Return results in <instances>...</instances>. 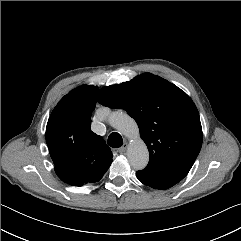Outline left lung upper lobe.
Wrapping results in <instances>:
<instances>
[{"label":"left lung upper lobe","instance_id":"5c2ea615","mask_svg":"<svg viewBox=\"0 0 241 241\" xmlns=\"http://www.w3.org/2000/svg\"><path fill=\"white\" fill-rule=\"evenodd\" d=\"M98 102L120 108L135 119L149 150L146 170L182 180L194 164L203 140L192 99L167 80L145 73L101 89Z\"/></svg>","mask_w":241,"mask_h":241}]
</instances>
